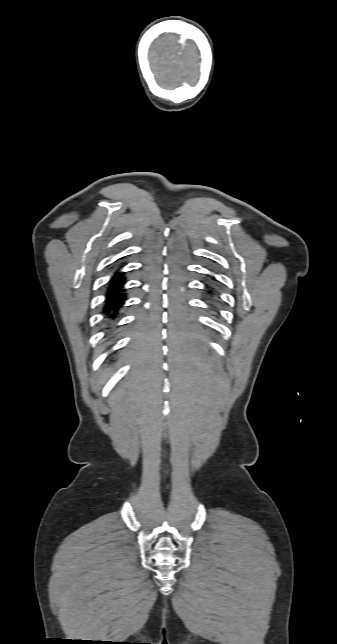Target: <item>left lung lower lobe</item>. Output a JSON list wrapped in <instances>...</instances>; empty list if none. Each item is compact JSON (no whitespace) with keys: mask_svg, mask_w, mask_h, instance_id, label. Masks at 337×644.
Wrapping results in <instances>:
<instances>
[{"mask_svg":"<svg viewBox=\"0 0 337 644\" xmlns=\"http://www.w3.org/2000/svg\"><path fill=\"white\" fill-rule=\"evenodd\" d=\"M209 277L211 279L215 280V278H213L211 276H209ZM205 293L207 294V296L212 301H216V299L218 298L215 288L213 286H211L210 284H205Z\"/></svg>","mask_w":337,"mask_h":644,"instance_id":"1","label":"left lung lower lobe"}]
</instances>
